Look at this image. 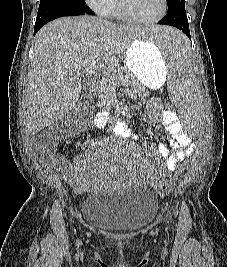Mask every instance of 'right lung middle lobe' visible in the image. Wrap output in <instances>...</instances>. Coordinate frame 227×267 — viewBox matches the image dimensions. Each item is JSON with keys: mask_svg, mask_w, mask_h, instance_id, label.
Here are the masks:
<instances>
[{"mask_svg": "<svg viewBox=\"0 0 227 267\" xmlns=\"http://www.w3.org/2000/svg\"><path fill=\"white\" fill-rule=\"evenodd\" d=\"M40 4L83 6L85 5V1L84 0H40Z\"/></svg>", "mask_w": 227, "mask_h": 267, "instance_id": "obj_1", "label": "right lung middle lobe"}]
</instances>
